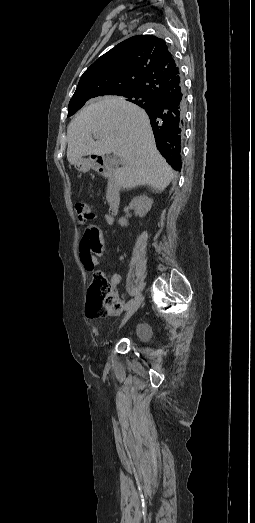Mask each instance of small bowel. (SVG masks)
Wrapping results in <instances>:
<instances>
[{
  "instance_id": "c3829d8e",
  "label": "small bowel",
  "mask_w": 255,
  "mask_h": 523,
  "mask_svg": "<svg viewBox=\"0 0 255 523\" xmlns=\"http://www.w3.org/2000/svg\"><path fill=\"white\" fill-rule=\"evenodd\" d=\"M99 218L93 216V219ZM105 223L111 224L107 215L102 216ZM104 252L102 232L97 225L89 224L86 226L79 247L80 261L87 271L91 272L99 265V259ZM111 284L116 286L121 281V276L114 273L111 276Z\"/></svg>"
}]
</instances>
